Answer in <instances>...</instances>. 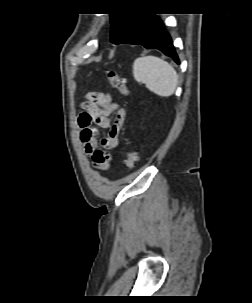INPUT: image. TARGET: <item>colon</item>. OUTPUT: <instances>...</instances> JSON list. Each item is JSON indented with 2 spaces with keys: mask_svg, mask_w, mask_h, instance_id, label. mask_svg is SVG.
Wrapping results in <instances>:
<instances>
[{
  "mask_svg": "<svg viewBox=\"0 0 252 303\" xmlns=\"http://www.w3.org/2000/svg\"><path fill=\"white\" fill-rule=\"evenodd\" d=\"M106 77L109 80L111 86L117 89L121 95L128 96L130 94V90L127 86L125 78H123L113 70H107ZM125 157V164L127 169L133 170L136 167L138 161L137 154L133 150H126Z\"/></svg>",
  "mask_w": 252,
  "mask_h": 303,
  "instance_id": "obj_1",
  "label": "colon"
}]
</instances>
